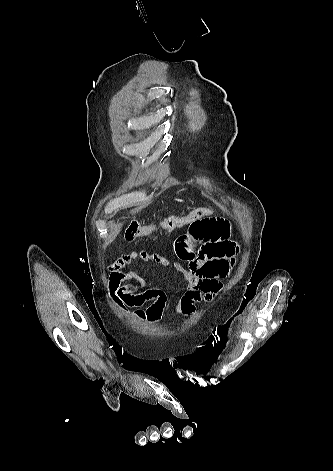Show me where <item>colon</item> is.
I'll use <instances>...</instances> for the list:
<instances>
[{"label": "colon", "instance_id": "obj_1", "mask_svg": "<svg viewBox=\"0 0 333 471\" xmlns=\"http://www.w3.org/2000/svg\"><path fill=\"white\" fill-rule=\"evenodd\" d=\"M211 214L212 210L210 208L202 207L194 209L186 215L169 216L155 224L140 225L136 221H130L125 228V238L127 240H134L139 237L148 236L158 228L168 231L174 230Z\"/></svg>", "mask_w": 333, "mask_h": 471}]
</instances>
